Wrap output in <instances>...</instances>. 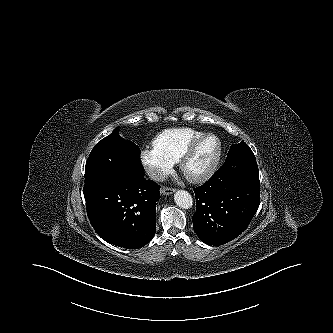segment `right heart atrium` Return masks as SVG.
<instances>
[{
    "mask_svg": "<svg viewBox=\"0 0 333 333\" xmlns=\"http://www.w3.org/2000/svg\"><path fill=\"white\" fill-rule=\"evenodd\" d=\"M140 158L149 176L156 181L164 179L174 167L172 160L159 154L154 149L143 150Z\"/></svg>",
    "mask_w": 333,
    "mask_h": 333,
    "instance_id": "right-heart-atrium-1",
    "label": "right heart atrium"
}]
</instances>
